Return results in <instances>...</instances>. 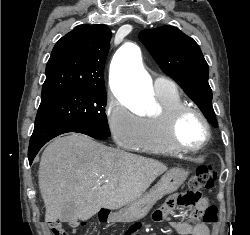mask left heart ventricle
Here are the masks:
<instances>
[{"label": "left heart ventricle", "mask_w": 250, "mask_h": 235, "mask_svg": "<svg viewBox=\"0 0 250 235\" xmlns=\"http://www.w3.org/2000/svg\"><path fill=\"white\" fill-rule=\"evenodd\" d=\"M178 137L186 146H198L205 137V128L200 118L192 113L185 115L179 124Z\"/></svg>", "instance_id": "left-heart-ventricle-1"}]
</instances>
